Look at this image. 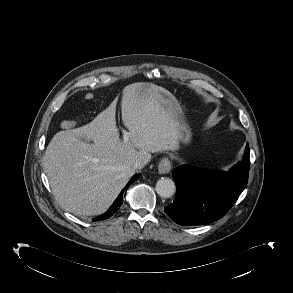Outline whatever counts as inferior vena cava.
Wrapping results in <instances>:
<instances>
[{
  "label": "inferior vena cava",
  "mask_w": 293,
  "mask_h": 293,
  "mask_svg": "<svg viewBox=\"0 0 293 293\" xmlns=\"http://www.w3.org/2000/svg\"><path fill=\"white\" fill-rule=\"evenodd\" d=\"M150 158H151V156L136 160L133 164V168L134 169L143 168L149 162Z\"/></svg>",
  "instance_id": "602c4592"
}]
</instances>
